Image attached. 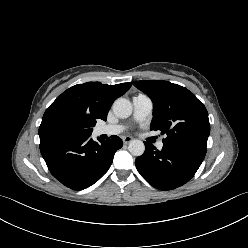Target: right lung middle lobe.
Instances as JSON below:
<instances>
[{
    "label": "right lung middle lobe",
    "mask_w": 248,
    "mask_h": 248,
    "mask_svg": "<svg viewBox=\"0 0 248 248\" xmlns=\"http://www.w3.org/2000/svg\"><path fill=\"white\" fill-rule=\"evenodd\" d=\"M94 125L83 118L64 111L43 115L39 127V136L63 135L84 136L91 135Z\"/></svg>",
    "instance_id": "right-lung-middle-lobe-1"
}]
</instances>
